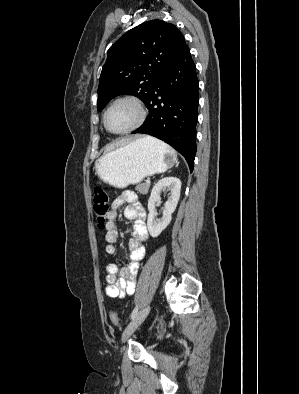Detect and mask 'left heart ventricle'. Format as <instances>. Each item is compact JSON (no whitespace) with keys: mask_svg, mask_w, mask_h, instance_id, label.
Segmentation results:
<instances>
[{"mask_svg":"<svg viewBox=\"0 0 299 394\" xmlns=\"http://www.w3.org/2000/svg\"><path fill=\"white\" fill-rule=\"evenodd\" d=\"M137 120V110L128 102L114 105L107 114V126L110 130L119 132L132 126Z\"/></svg>","mask_w":299,"mask_h":394,"instance_id":"left-heart-ventricle-1","label":"left heart ventricle"}]
</instances>
